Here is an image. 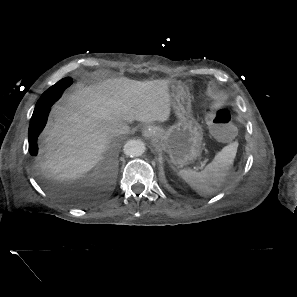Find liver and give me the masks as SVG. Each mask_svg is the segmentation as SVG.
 <instances>
[{
  "instance_id": "liver-1",
  "label": "liver",
  "mask_w": 297,
  "mask_h": 297,
  "mask_svg": "<svg viewBox=\"0 0 297 297\" xmlns=\"http://www.w3.org/2000/svg\"><path fill=\"white\" fill-rule=\"evenodd\" d=\"M170 81L107 79L80 86L52 108L40 140L42 171L76 194V180L93 169L109 149L118 122L166 121L171 111Z\"/></svg>"
}]
</instances>
